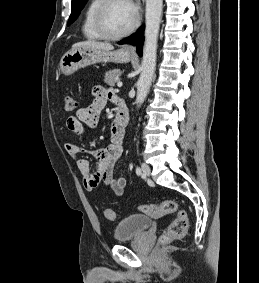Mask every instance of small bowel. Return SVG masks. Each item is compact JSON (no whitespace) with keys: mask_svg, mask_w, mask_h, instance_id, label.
<instances>
[{"mask_svg":"<svg viewBox=\"0 0 259 283\" xmlns=\"http://www.w3.org/2000/svg\"><path fill=\"white\" fill-rule=\"evenodd\" d=\"M93 100L87 107L77 110L74 116L68 117L67 128L77 134L84 135L88 130L94 129L101 112L109 100H114L111 91L96 86L92 90ZM125 130H119L114 123L111 125V143L103 149H84L79 145L68 142L65 144L66 152L74 159L78 170L83 176L84 186L92 191L99 186L110 187L116 196H121L126 186V179L123 176L115 177L116 163L123 156V138ZM80 154H88L96 159L95 169L92 171L90 163Z\"/></svg>","mask_w":259,"mask_h":283,"instance_id":"1","label":"small bowel"}]
</instances>
